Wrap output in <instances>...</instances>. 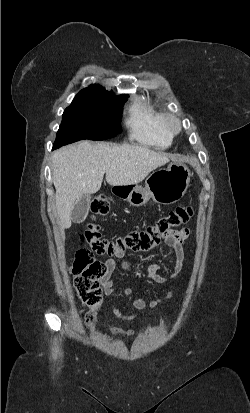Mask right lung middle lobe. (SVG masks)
<instances>
[{
    "instance_id": "right-lung-middle-lobe-1",
    "label": "right lung middle lobe",
    "mask_w": 250,
    "mask_h": 413,
    "mask_svg": "<svg viewBox=\"0 0 250 413\" xmlns=\"http://www.w3.org/2000/svg\"><path fill=\"white\" fill-rule=\"evenodd\" d=\"M126 97L79 92L64 110L53 148L83 139L105 140L121 132L122 107Z\"/></svg>"
}]
</instances>
